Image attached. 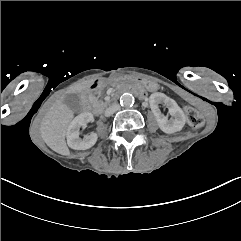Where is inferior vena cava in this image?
Returning <instances> with one entry per match:
<instances>
[{"instance_id": "obj_1", "label": "inferior vena cava", "mask_w": 241, "mask_h": 241, "mask_svg": "<svg viewBox=\"0 0 241 241\" xmlns=\"http://www.w3.org/2000/svg\"><path fill=\"white\" fill-rule=\"evenodd\" d=\"M120 110V105L119 104H112L111 106H109L105 112L104 115L106 117H110L112 114H114L115 112Z\"/></svg>"}]
</instances>
